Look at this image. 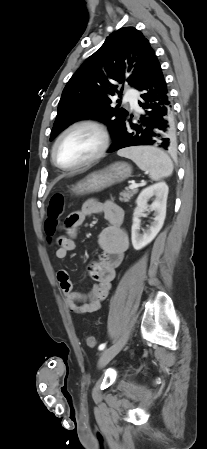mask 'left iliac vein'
I'll list each match as a JSON object with an SVG mask.
<instances>
[{"instance_id":"obj_1","label":"left iliac vein","mask_w":207,"mask_h":449,"mask_svg":"<svg viewBox=\"0 0 207 449\" xmlns=\"http://www.w3.org/2000/svg\"><path fill=\"white\" fill-rule=\"evenodd\" d=\"M128 340V335L121 338L118 342L105 349L99 358V367H104L107 363H109L123 348Z\"/></svg>"}]
</instances>
